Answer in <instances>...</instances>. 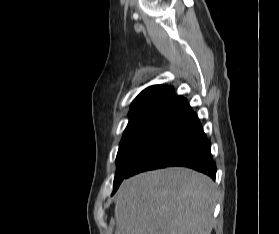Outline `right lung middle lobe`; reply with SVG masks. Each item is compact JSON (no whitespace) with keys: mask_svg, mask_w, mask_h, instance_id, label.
<instances>
[{"mask_svg":"<svg viewBox=\"0 0 279 234\" xmlns=\"http://www.w3.org/2000/svg\"><path fill=\"white\" fill-rule=\"evenodd\" d=\"M171 110L170 107H162L129 113V123L124 131L116 157L117 168L113 194L125 178L129 165L137 152Z\"/></svg>","mask_w":279,"mask_h":234,"instance_id":"right-lung-middle-lobe-1","label":"right lung middle lobe"}]
</instances>
